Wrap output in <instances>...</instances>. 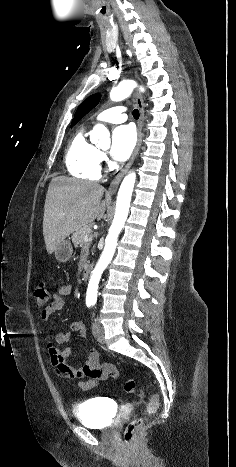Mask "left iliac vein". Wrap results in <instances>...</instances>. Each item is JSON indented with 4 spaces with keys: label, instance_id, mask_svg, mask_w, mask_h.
Segmentation results:
<instances>
[{
    "label": "left iliac vein",
    "instance_id": "obj_1",
    "mask_svg": "<svg viewBox=\"0 0 236 467\" xmlns=\"http://www.w3.org/2000/svg\"><path fill=\"white\" fill-rule=\"evenodd\" d=\"M92 332L98 342L104 343V330L98 323L93 324Z\"/></svg>",
    "mask_w": 236,
    "mask_h": 467
}]
</instances>
